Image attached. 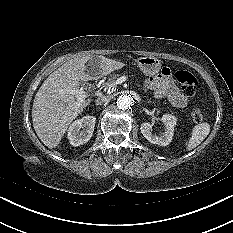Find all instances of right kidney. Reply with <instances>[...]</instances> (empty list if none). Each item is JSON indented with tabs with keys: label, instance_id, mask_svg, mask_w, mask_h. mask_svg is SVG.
Listing matches in <instances>:
<instances>
[{
	"label": "right kidney",
	"instance_id": "obj_1",
	"mask_svg": "<svg viewBox=\"0 0 233 233\" xmlns=\"http://www.w3.org/2000/svg\"><path fill=\"white\" fill-rule=\"evenodd\" d=\"M96 118L84 116L75 120L68 128V139L72 146L77 147L87 143L92 137Z\"/></svg>",
	"mask_w": 233,
	"mask_h": 233
}]
</instances>
